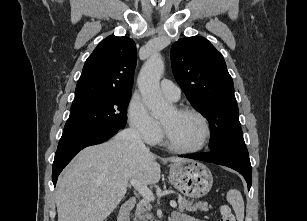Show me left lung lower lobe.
I'll return each instance as SVG.
<instances>
[{
    "instance_id": "obj_1",
    "label": "left lung lower lobe",
    "mask_w": 307,
    "mask_h": 221,
    "mask_svg": "<svg viewBox=\"0 0 307 221\" xmlns=\"http://www.w3.org/2000/svg\"><path fill=\"white\" fill-rule=\"evenodd\" d=\"M184 157L232 168L244 176L248 185V190H250L252 183V167L249 158L229 151H211L208 153L193 154Z\"/></svg>"
}]
</instances>
